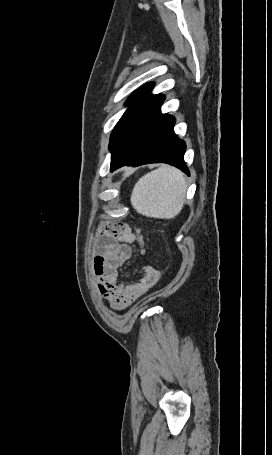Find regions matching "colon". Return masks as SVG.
<instances>
[{"instance_id": "5ec220e1", "label": "colon", "mask_w": 272, "mask_h": 455, "mask_svg": "<svg viewBox=\"0 0 272 455\" xmlns=\"http://www.w3.org/2000/svg\"><path fill=\"white\" fill-rule=\"evenodd\" d=\"M137 237H138V241H139V248H140V254L145 257L146 254H147V248H146V242H145V238L142 234H140V232H137Z\"/></svg>"}]
</instances>
